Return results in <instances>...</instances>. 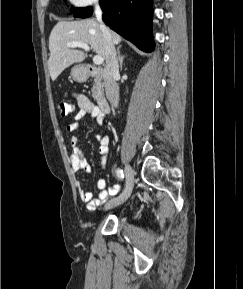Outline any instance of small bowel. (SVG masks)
Returning a JSON list of instances; mask_svg holds the SVG:
<instances>
[{
	"instance_id": "obj_1",
	"label": "small bowel",
	"mask_w": 243,
	"mask_h": 289,
	"mask_svg": "<svg viewBox=\"0 0 243 289\" xmlns=\"http://www.w3.org/2000/svg\"><path fill=\"white\" fill-rule=\"evenodd\" d=\"M75 99L78 103L79 110L74 117V121L67 125V130L69 132L76 133L80 125L79 120L89 116L97 121L98 124L102 125L104 123L105 115L100 112V110L86 97L82 94H76ZM96 138L99 142V154L101 157V168L104 169L107 158L110 152V137L106 133H98ZM79 138L77 135L72 136L70 139L71 153H70V165L74 173L79 171H84L87 174H91L92 167L86 159L83 151L78 146ZM97 188L99 190L98 196L93 198L92 193L82 187L80 183H77V189L81 200L86 204L89 211H94L105 203L110 195L116 194L120 186L114 185L110 188L107 187L106 181L100 178L97 181Z\"/></svg>"
}]
</instances>
